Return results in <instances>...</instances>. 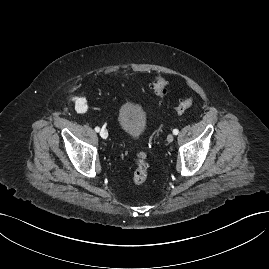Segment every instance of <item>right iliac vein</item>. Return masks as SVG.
Instances as JSON below:
<instances>
[{
  "instance_id": "1",
  "label": "right iliac vein",
  "mask_w": 269,
  "mask_h": 269,
  "mask_svg": "<svg viewBox=\"0 0 269 269\" xmlns=\"http://www.w3.org/2000/svg\"><path fill=\"white\" fill-rule=\"evenodd\" d=\"M100 136L103 139H106L108 137V131L105 128H102L101 131H100Z\"/></svg>"
}]
</instances>
